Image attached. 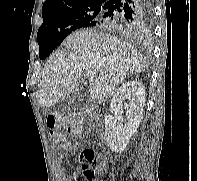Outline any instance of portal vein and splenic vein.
I'll return each mask as SVG.
<instances>
[{
	"label": "portal vein and splenic vein",
	"mask_w": 197,
	"mask_h": 181,
	"mask_svg": "<svg viewBox=\"0 0 197 181\" xmlns=\"http://www.w3.org/2000/svg\"><path fill=\"white\" fill-rule=\"evenodd\" d=\"M86 76L89 78V80H93L96 77V72L88 71L86 72Z\"/></svg>",
	"instance_id": "1"
}]
</instances>
